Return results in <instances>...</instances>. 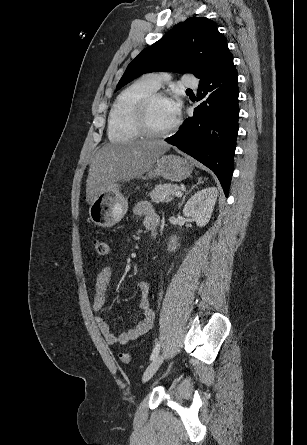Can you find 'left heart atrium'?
Listing matches in <instances>:
<instances>
[{"instance_id":"left-heart-atrium-1","label":"left heart atrium","mask_w":307,"mask_h":445,"mask_svg":"<svg viewBox=\"0 0 307 445\" xmlns=\"http://www.w3.org/2000/svg\"><path fill=\"white\" fill-rule=\"evenodd\" d=\"M167 107L169 110L170 115L176 119L180 114V102L175 99H167L166 100Z\"/></svg>"}]
</instances>
